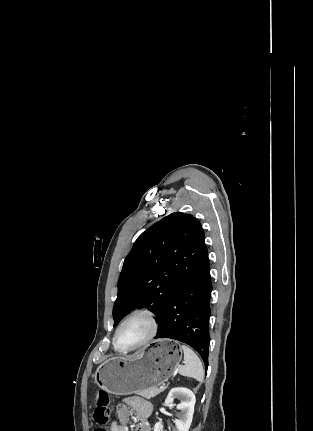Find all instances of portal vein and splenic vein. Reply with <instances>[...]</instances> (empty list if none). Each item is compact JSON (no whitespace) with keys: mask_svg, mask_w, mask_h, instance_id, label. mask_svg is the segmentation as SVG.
<instances>
[{"mask_svg":"<svg viewBox=\"0 0 313 431\" xmlns=\"http://www.w3.org/2000/svg\"><path fill=\"white\" fill-rule=\"evenodd\" d=\"M160 388H161V389H164L165 387H164V386H161Z\"/></svg>","mask_w":313,"mask_h":431,"instance_id":"obj_1","label":"portal vein and splenic vein"}]
</instances>
